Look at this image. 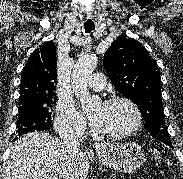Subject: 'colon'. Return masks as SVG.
Wrapping results in <instances>:
<instances>
[{"mask_svg":"<svg viewBox=\"0 0 183 179\" xmlns=\"http://www.w3.org/2000/svg\"><path fill=\"white\" fill-rule=\"evenodd\" d=\"M153 157L156 160V162H158V163L160 162L161 155H160V153L158 151H154L153 152ZM163 179H170V178L169 177H164Z\"/></svg>","mask_w":183,"mask_h":179,"instance_id":"5ec220e1","label":"colon"}]
</instances>
